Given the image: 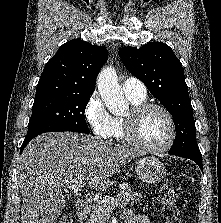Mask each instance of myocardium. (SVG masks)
<instances>
[{
	"label": "myocardium",
	"instance_id": "1",
	"mask_svg": "<svg viewBox=\"0 0 221 223\" xmlns=\"http://www.w3.org/2000/svg\"><path fill=\"white\" fill-rule=\"evenodd\" d=\"M157 109L160 110L168 119L170 134L168 140L160 146H152L145 144L138 140L137 132V123L140 117L148 110ZM124 126V140L128 142L131 146L147 152H163L169 149L175 142L177 137V128L175 119L165 106L159 103L144 102L138 105H134L130 113L123 119Z\"/></svg>",
	"mask_w": 221,
	"mask_h": 223
}]
</instances>
